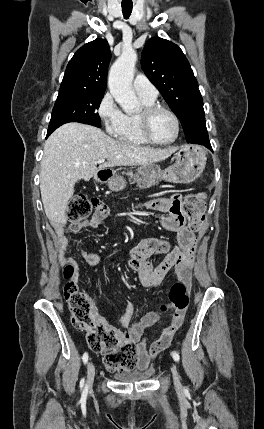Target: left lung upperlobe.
<instances>
[{"mask_svg":"<svg viewBox=\"0 0 264 429\" xmlns=\"http://www.w3.org/2000/svg\"><path fill=\"white\" fill-rule=\"evenodd\" d=\"M142 69L178 116L188 143L209 142L203 99L182 50L171 41L153 37L142 51Z\"/></svg>","mask_w":264,"mask_h":429,"instance_id":"1","label":"left lung upper lobe"}]
</instances>
